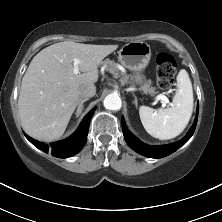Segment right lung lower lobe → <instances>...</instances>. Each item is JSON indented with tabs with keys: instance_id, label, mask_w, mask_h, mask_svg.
<instances>
[{
	"instance_id": "obj_1",
	"label": "right lung lower lobe",
	"mask_w": 222,
	"mask_h": 222,
	"mask_svg": "<svg viewBox=\"0 0 222 222\" xmlns=\"http://www.w3.org/2000/svg\"><path fill=\"white\" fill-rule=\"evenodd\" d=\"M94 111H95V108L92 109L84 117L79 128L74 134H72L70 137H68L65 140L54 142L50 146L32 139L31 137L27 136L25 133L24 135L34 146H36L37 148H39L45 153L50 152L53 156L59 157V158L71 157L77 154L84 146L87 140L90 120L94 114Z\"/></svg>"
}]
</instances>
